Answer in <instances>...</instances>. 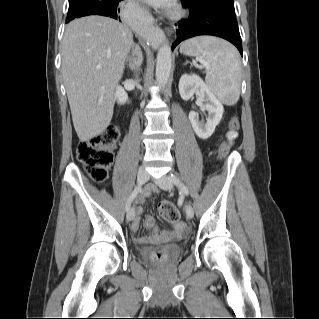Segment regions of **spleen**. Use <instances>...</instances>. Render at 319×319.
<instances>
[{"label":"spleen","mask_w":319,"mask_h":319,"mask_svg":"<svg viewBox=\"0 0 319 319\" xmlns=\"http://www.w3.org/2000/svg\"><path fill=\"white\" fill-rule=\"evenodd\" d=\"M180 52L196 57L210 69L205 82L220 102L228 106L237 103L240 96L241 61L234 46L216 37L201 36L184 41Z\"/></svg>","instance_id":"1"}]
</instances>
